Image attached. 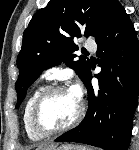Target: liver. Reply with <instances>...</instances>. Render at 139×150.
I'll return each instance as SVG.
<instances>
[{
  "instance_id": "6515ba94",
  "label": "liver",
  "mask_w": 139,
  "mask_h": 150,
  "mask_svg": "<svg viewBox=\"0 0 139 150\" xmlns=\"http://www.w3.org/2000/svg\"><path fill=\"white\" fill-rule=\"evenodd\" d=\"M53 148H55V146H40L37 150H51V149H53Z\"/></svg>"
}]
</instances>
